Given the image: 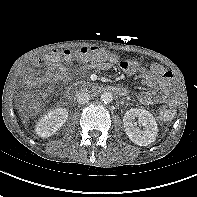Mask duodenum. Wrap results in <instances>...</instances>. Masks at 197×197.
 <instances>
[{
  "instance_id": "obj_1",
  "label": "duodenum",
  "mask_w": 197,
  "mask_h": 197,
  "mask_svg": "<svg viewBox=\"0 0 197 197\" xmlns=\"http://www.w3.org/2000/svg\"><path fill=\"white\" fill-rule=\"evenodd\" d=\"M109 89L112 90L113 92H115L116 94L121 95V96L126 94V90L124 88H121V87L110 86Z\"/></svg>"
}]
</instances>
